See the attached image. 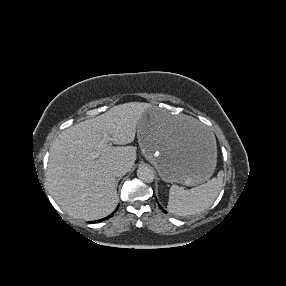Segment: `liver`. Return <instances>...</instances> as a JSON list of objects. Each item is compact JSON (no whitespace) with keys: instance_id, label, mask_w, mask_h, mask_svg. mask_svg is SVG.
I'll use <instances>...</instances> for the list:
<instances>
[{"instance_id":"1","label":"liver","mask_w":286,"mask_h":286,"mask_svg":"<svg viewBox=\"0 0 286 286\" xmlns=\"http://www.w3.org/2000/svg\"><path fill=\"white\" fill-rule=\"evenodd\" d=\"M151 108L154 107L143 102L120 104L58 135L50 148L47 185L63 211L87 221L100 219L114 211L118 203L117 180L111 168L121 163L127 171L132 169L136 148L129 144L135 140L143 113ZM160 114L176 133L184 137L196 133L210 136L189 116ZM104 135H108L110 141L102 145ZM112 143L119 146H112ZM94 151L99 154L95 159L90 155Z\"/></svg>"}]
</instances>
